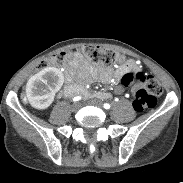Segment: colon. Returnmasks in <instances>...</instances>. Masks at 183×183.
I'll return each instance as SVG.
<instances>
[{"mask_svg": "<svg viewBox=\"0 0 183 183\" xmlns=\"http://www.w3.org/2000/svg\"><path fill=\"white\" fill-rule=\"evenodd\" d=\"M82 54L92 63H101L104 65H113L124 60V56L110 49H105L96 45H87L81 49ZM74 53L59 52L41 60L36 69L45 70L51 66L64 65L72 61ZM135 82L142 84V87L136 91L133 106L136 111H144L154 108L158 103V97L162 93L161 84L152 76L145 77L143 74L126 73L121 77V82L108 88L107 93L111 97H122L126 88Z\"/></svg>", "mask_w": 183, "mask_h": 183, "instance_id": "colon-1", "label": "colon"}]
</instances>
